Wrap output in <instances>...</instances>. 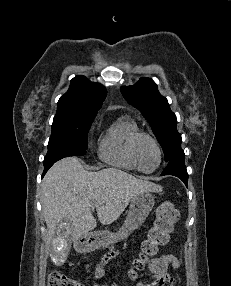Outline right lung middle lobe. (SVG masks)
<instances>
[{
    "instance_id": "1",
    "label": "right lung middle lobe",
    "mask_w": 231,
    "mask_h": 286,
    "mask_svg": "<svg viewBox=\"0 0 231 286\" xmlns=\"http://www.w3.org/2000/svg\"><path fill=\"white\" fill-rule=\"evenodd\" d=\"M97 113H56L44 163L86 154L87 135Z\"/></svg>"
}]
</instances>
